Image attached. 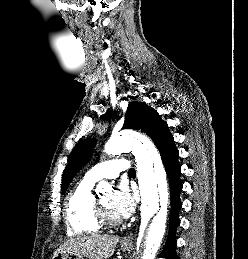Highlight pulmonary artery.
<instances>
[{
  "mask_svg": "<svg viewBox=\"0 0 248 259\" xmlns=\"http://www.w3.org/2000/svg\"><path fill=\"white\" fill-rule=\"evenodd\" d=\"M129 170L130 164L126 159H114L95 165L85 177L96 182L103 178H116L121 172Z\"/></svg>",
  "mask_w": 248,
  "mask_h": 259,
  "instance_id": "pulmonary-artery-1",
  "label": "pulmonary artery"
}]
</instances>
